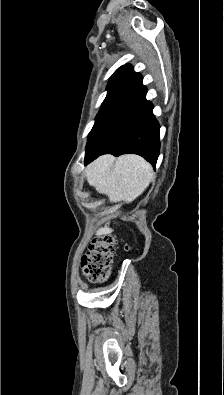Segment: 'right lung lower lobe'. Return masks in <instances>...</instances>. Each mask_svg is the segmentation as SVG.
Segmentation results:
<instances>
[{"label": "right lung lower lobe", "mask_w": 224, "mask_h": 395, "mask_svg": "<svg viewBox=\"0 0 224 395\" xmlns=\"http://www.w3.org/2000/svg\"><path fill=\"white\" fill-rule=\"evenodd\" d=\"M142 76L125 65L108 91L88 136L85 165L106 153L138 154L154 167L159 155V124L146 100Z\"/></svg>", "instance_id": "1"}]
</instances>
